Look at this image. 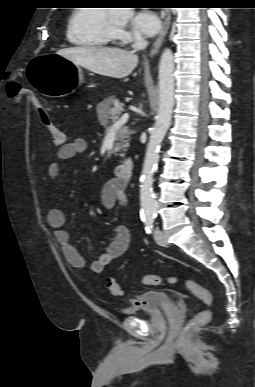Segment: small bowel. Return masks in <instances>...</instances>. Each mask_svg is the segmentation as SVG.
I'll return each mask as SVG.
<instances>
[{"label": "small bowel", "mask_w": 255, "mask_h": 387, "mask_svg": "<svg viewBox=\"0 0 255 387\" xmlns=\"http://www.w3.org/2000/svg\"><path fill=\"white\" fill-rule=\"evenodd\" d=\"M87 150V141L82 137L74 138L57 149V158L61 161H68L82 155ZM59 173V164L52 162L48 165L47 174L49 178L56 179ZM126 184L118 178L107 181L101 192V201L106 208H113L116 204H123L126 201ZM47 222L54 230V236L60 244L66 261L76 268H85L84 257L74 246L69 233L64 228L66 217L59 208H52L47 213ZM131 235L129 229L124 225L115 228V236L105 251L89 264L91 272L100 274L112 260L122 256L129 248ZM134 302H137L135 300Z\"/></svg>", "instance_id": "small-bowel-1"}]
</instances>
